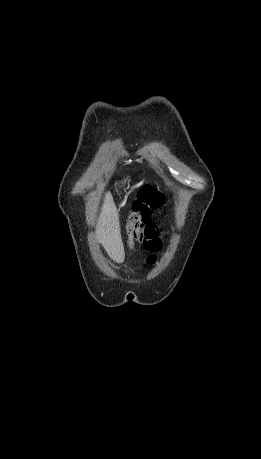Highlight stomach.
I'll list each match as a JSON object with an SVG mask.
<instances>
[{"instance_id": "1", "label": "stomach", "mask_w": 261, "mask_h": 459, "mask_svg": "<svg viewBox=\"0 0 261 459\" xmlns=\"http://www.w3.org/2000/svg\"><path fill=\"white\" fill-rule=\"evenodd\" d=\"M130 181V178H124L123 180L116 182L114 185L115 190L118 191L121 188L125 189L127 186H129Z\"/></svg>"}]
</instances>
